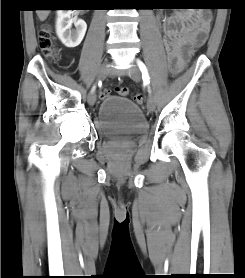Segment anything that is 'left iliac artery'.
Listing matches in <instances>:
<instances>
[{"label": "left iliac artery", "instance_id": "obj_1", "mask_svg": "<svg viewBox=\"0 0 245 278\" xmlns=\"http://www.w3.org/2000/svg\"><path fill=\"white\" fill-rule=\"evenodd\" d=\"M138 65H139V68H140V70L142 72L143 81H145L146 83H150L149 75H148V71H147L146 66L141 61H138Z\"/></svg>", "mask_w": 245, "mask_h": 278}]
</instances>
